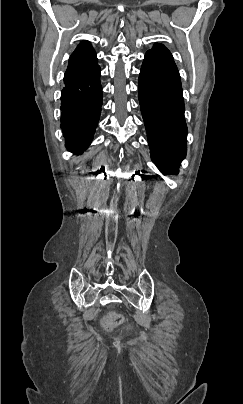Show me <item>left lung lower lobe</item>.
Masks as SVG:
<instances>
[{"label": "left lung lower lobe", "mask_w": 243, "mask_h": 404, "mask_svg": "<svg viewBox=\"0 0 243 404\" xmlns=\"http://www.w3.org/2000/svg\"><path fill=\"white\" fill-rule=\"evenodd\" d=\"M138 94L152 161L162 173L177 174L186 156L187 126L180 75L173 59L147 52Z\"/></svg>", "instance_id": "obj_1"}]
</instances>
